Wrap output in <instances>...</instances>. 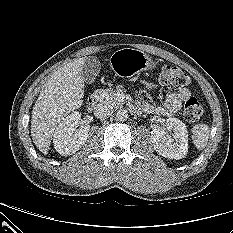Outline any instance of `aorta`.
I'll return each instance as SVG.
<instances>
[{
  "mask_svg": "<svg viewBox=\"0 0 233 233\" xmlns=\"http://www.w3.org/2000/svg\"><path fill=\"white\" fill-rule=\"evenodd\" d=\"M116 117L120 121H126L129 117L128 111L126 109H120L117 111Z\"/></svg>",
  "mask_w": 233,
  "mask_h": 233,
  "instance_id": "762f6f07",
  "label": "aorta"
}]
</instances>
